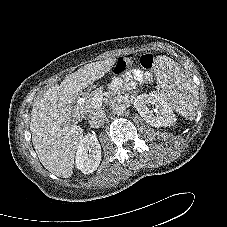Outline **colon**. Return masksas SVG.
Listing matches in <instances>:
<instances>
[{
  "instance_id": "obj_1",
  "label": "colon",
  "mask_w": 227,
  "mask_h": 227,
  "mask_svg": "<svg viewBox=\"0 0 227 227\" xmlns=\"http://www.w3.org/2000/svg\"><path fill=\"white\" fill-rule=\"evenodd\" d=\"M154 64H155V59L150 54L143 55L140 58V65L146 71H152L154 68ZM131 65H132V61L130 58H120L114 66V72L115 74H122L126 70H128L131 67Z\"/></svg>"
}]
</instances>
